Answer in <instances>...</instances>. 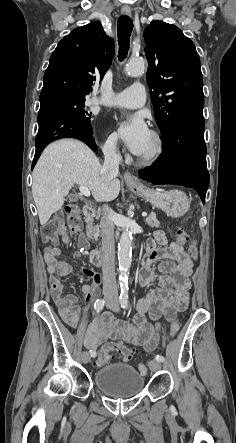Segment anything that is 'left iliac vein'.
<instances>
[{
	"label": "left iliac vein",
	"instance_id": "left-iliac-vein-1",
	"mask_svg": "<svg viewBox=\"0 0 236 443\" xmlns=\"http://www.w3.org/2000/svg\"><path fill=\"white\" fill-rule=\"evenodd\" d=\"M111 310L114 312H118L119 311V307L117 305H112L111 306ZM149 368L151 371H158L161 368V364L160 362H158L157 360H153L149 362Z\"/></svg>",
	"mask_w": 236,
	"mask_h": 443
}]
</instances>
